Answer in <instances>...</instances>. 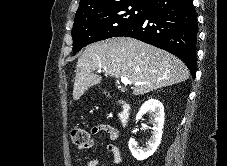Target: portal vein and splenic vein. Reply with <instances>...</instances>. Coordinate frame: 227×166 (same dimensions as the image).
<instances>
[{"mask_svg": "<svg viewBox=\"0 0 227 166\" xmlns=\"http://www.w3.org/2000/svg\"><path fill=\"white\" fill-rule=\"evenodd\" d=\"M102 71V69H99L98 70V72H101ZM121 82L123 83V84H126V85H131V84H133L127 77H122L121 78ZM135 85H137V84H135Z\"/></svg>", "mask_w": 227, "mask_h": 166, "instance_id": "1", "label": "portal vein and splenic vein"}]
</instances>
